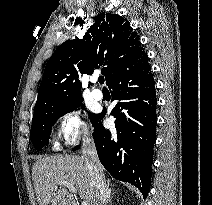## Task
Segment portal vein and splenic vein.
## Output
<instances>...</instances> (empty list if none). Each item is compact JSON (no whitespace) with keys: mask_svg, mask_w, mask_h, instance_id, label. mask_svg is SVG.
<instances>
[{"mask_svg":"<svg viewBox=\"0 0 212 205\" xmlns=\"http://www.w3.org/2000/svg\"><path fill=\"white\" fill-rule=\"evenodd\" d=\"M60 186H66L67 188H69V190L72 192V193H77L76 189L74 188V186L68 182H63L60 184ZM81 205H89V202L88 201H83Z\"/></svg>","mask_w":212,"mask_h":205,"instance_id":"1","label":"portal vein and splenic vein"}]
</instances>
